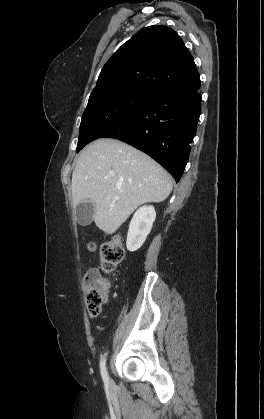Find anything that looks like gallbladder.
Returning <instances> with one entry per match:
<instances>
[{"mask_svg": "<svg viewBox=\"0 0 264 419\" xmlns=\"http://www.w3.org/2000/svg\"><path fill=\"white\" fill-rule=\"evenodd\" d=\"M94 205L91 203H80L76 207L77 222L80 225L87 226L93 220Z\"/></svg>", "mask_w": 264, "mask_h": 419, "instance_id": "gallbladder-1", "label": "gallbladder"}]
</instances>
